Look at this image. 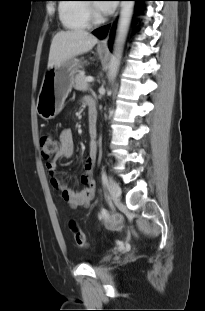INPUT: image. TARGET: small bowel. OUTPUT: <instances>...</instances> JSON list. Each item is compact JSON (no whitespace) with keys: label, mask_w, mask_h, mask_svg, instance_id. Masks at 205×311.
<instances>
[{"label":"small bowel","mask_w":205,"mask_h":311,"mask_svg":"<svg viewBox=\"0 0 205 311\" xmlns=\"http://www.w3.org/2000/svg\"><path fill=\"white\" fill-rule=\"evenodd\" d=\"M93 104V101L87 100L89 109L88 132L91 138V143L86 156V173L83 174L80 179L84 185L83 189L80 191H74L68 187L64 179L57 176V162L61 159H70L74 155V140L71 129L67 128L61 131L59 136L60 149L50 161L46 162V169L52 176V186L60 192L63 200L66 201L72 208L87 206L93 199L96 190V184L92 177V171L97 158V148L95 143L97 135L96 108L93 109Z\"/></svg>","instance_id":"small-bowel-1"}]
</instances>
